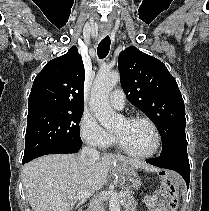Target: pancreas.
<instances>
[{
  "label": "pancreas",
  "mask_w": 209,
  "mask_h": 211,
  "mask_svg": "<svg viewBox=\"0 0 209 211\" xmlns=\"http://www.w3.org/2000/svg\"><path fill=\"white\" fill-rule=\"evenodd\" d=\"M125 195L122 197V201L124 202L125 211H137L136 210V202L132 194L128 191H124Z\"/></svg>",
  "instance_id": "1"
}]
</instances>
